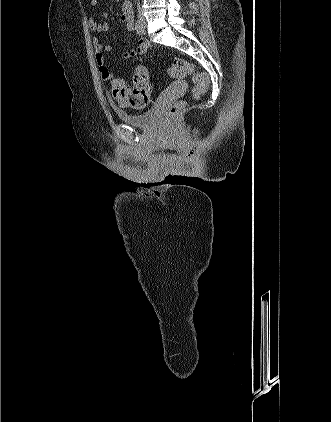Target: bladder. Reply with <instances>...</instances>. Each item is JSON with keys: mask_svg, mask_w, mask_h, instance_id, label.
Wrapping results in <instances>:
<instances>
[{"mask_svg": "<svg viewBox=\"0 0 331 422\" xmlns=\"http://www.w3.org/2000/svg\"><path fill=\"white\" fill-rule=\"evenodd\" d=\"M119 118L127 125L150 129L155 126L158 119L159 107L154 104L149 110L141 113H127L117 111Z\"/></svg>", "mask_w": 331, "mask_h": 422, "instance_id": "bladder-1", "label": "bladder"}]
</instances>
